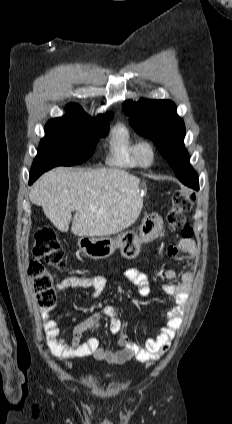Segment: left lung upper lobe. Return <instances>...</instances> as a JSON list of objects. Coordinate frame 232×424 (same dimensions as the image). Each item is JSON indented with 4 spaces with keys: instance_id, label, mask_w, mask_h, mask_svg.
I'll list each match as a JSON object with an SVG mask.
<instances>
[{
    "instance_id": "left-lung-upper-lobe-1",
    "label": "left lung upper lobe",
    "mask_w": 232,
    "mask_h": 424,
    "mask_svg": "<svg viewBox=\"0 0 232 424\" xmlns=\"http://www.w3.org/2000/svg\"><path fill=\"white\" fill-rule=\"evenodd\" d=\"M124 112L130 116L129 123L137 133L153 140L180 181L195 174L183 143L185 126L172 101H128Z\"/></svg>"
}]
</instances>
